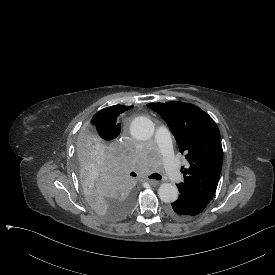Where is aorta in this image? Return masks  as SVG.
Here are the masks:
<instances>
[{
  "mask_svg": "<svg viewBox=\"0 0 275 275\" xmlns=\"http://www.w3.org/2000/svg\"><path fill=\"white\" fill-rule=\"evenodd\" d=\"M131 135L137 140H147L154 134V123L147 117H136L130 126ZM161 201L171 203L178 199V189L170 183H163L158 189Z\"/></svg>",
  "mask_w": 275,
  "mask_h": 275,
  "instance_id": "aorta-1",
  "label": "aorta"
}]
</instances>
